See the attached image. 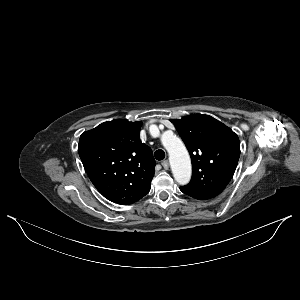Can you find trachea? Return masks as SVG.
Here are the masks:
<instances>
[{"instance_id":"1","label":"trachea","mask_w":300,"mask_h":300,"mask_svg":"<svg viewBox=\"0 0 300 300\" xmlns=\"http://www.w3.org/2000/svg\"><path fill=\"white\" fill-rule=\"evenodd\" d=\"M154 156L157 160L161 161L165 158V152L163 150L159 149L154 153Z\"/></svg>"}]
</instances>
